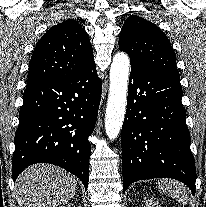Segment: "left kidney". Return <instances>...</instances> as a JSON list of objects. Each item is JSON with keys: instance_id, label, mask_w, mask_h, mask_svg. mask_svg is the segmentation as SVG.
Listing matches in <instances>:
<instances>
[{"instance_id": "5707ae66", "label": "left kidney", "mask_w": 206, "mask_h": 207, "mask_svg": "<svg viewBox=\"0 0 206 207\" xmlns=\"http://www.w3.org/2000/svg\"><path fill=\"white\" fill-rule=\"evenodd\" d=\"M144 207H162L158 201L154 199H148Z\"/></svg>"}]
</instances>
